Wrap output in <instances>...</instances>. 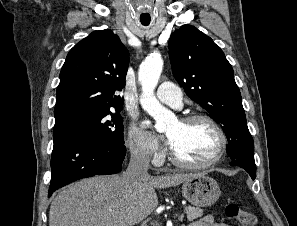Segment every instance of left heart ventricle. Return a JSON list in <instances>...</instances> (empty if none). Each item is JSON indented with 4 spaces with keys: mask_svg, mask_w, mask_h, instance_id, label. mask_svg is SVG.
I'll return each instance as SVG.
<instances>
[{
    "mask_svg": "<svg viewBox=\"0 0 297 226\" xmlns=\"http://www.w3.org/2000/svg\"><path fill=\"white\" fill-rule=\"evenodd\" d=\"M166 134L172 140V149L177 156L189 163H203L215 153L219 138L214 129L203 121L171 123Z\"/></svg>",
    "mask_w": 297,
    "mask_h": 226,
    "instance_id": "b2bd125f",
    "label": "left heart ventricle"
}]
</instances>
